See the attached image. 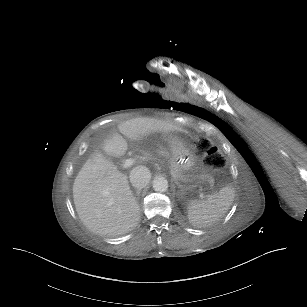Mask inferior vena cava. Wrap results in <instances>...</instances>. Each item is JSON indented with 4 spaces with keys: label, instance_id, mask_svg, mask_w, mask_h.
<instances>
[{
    "label": "inferior vena cava",
    "instance_id": "obj_1",
    "mask_svg": "<svg viewBox=\"0 0 307 307\" xmlns=\"http://www.w3.org/2000/svg\"><path fill=\"white\" fill-rule=\"evenodd\" d=\"M151 180V173L144 166L135 167L130 173V182L137 189L145 188Z\"/></svg>",
    "mask_w": 307,
    "mask_h": 307
}]
</instances>
